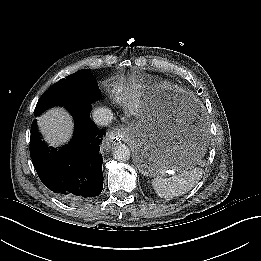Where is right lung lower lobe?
Instances as JSON below:
<instances>
[{
    "label": "right lung lower lobe",
    "mask_w": 261,
    "mask_h": 261,
    "mask_svg": "<svg viewBox=\"0 0 261 261\" xmlns=\"http://www.w3.org/2000/svg\"><path fill=\"white\" fill-rule=\"evenodd\" d=\"M69 111L75 121L70 143L60 149L46 146L34 121L30 154L42 183L63 201L77 203L99 195L103 189L99 145L105 132L90 119L91 104H77Z\"/></svg>",
    "instance_id": "1"
}]
</instances>
